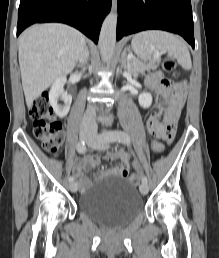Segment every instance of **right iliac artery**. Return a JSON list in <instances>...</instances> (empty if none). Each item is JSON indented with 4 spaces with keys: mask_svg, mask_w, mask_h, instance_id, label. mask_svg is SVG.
Returning <instances> with one entry per match:
<instances>
[{
    "mask_svg": "<svg viewBox=\"0 0 219 258\" xmlns=\"http://www.w3.org/2000/svg\"><path fill=\"white\" fill-rule=\"evenodd\" d=\"M76 148H77L78 153L84 154L86 152L85 142L84 141L78 142ZM73 181H74V177L70 176L69 177V182H73Z\"/></svg>",
    "mask_w": 219,
    "mask_h": 258,
    "instance_id": "82829eb1",
    "label": "right iliac artery"
}]
</instances>
